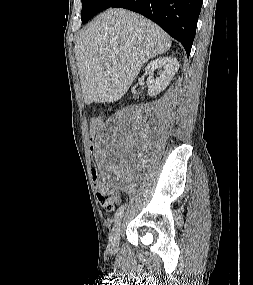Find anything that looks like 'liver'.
<instances>
[{
  "instance_id": "obj_1",
  "label": "liver",
  "mask_w": 253,
  "mask_h": 285,
  "mask_svg": "<svg viewBox=\"0 0 253 285\" xmlns=\"http://www.w3.org/2000/svg\"><path fill=\"white\" fill-rule=\"evenodd\" d=\"M167 33L149 19L108 9L82 31L75 53L84 102H115L150 58L171 47Z\"/></svg>"
}]
</instances>
